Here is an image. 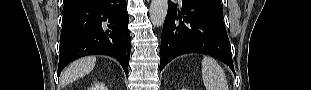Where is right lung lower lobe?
Masks as SVG:
<instances>
[{
    "instance_id": "obj_1",
    "label": "right lung lower lobe",
    "mask_w": 311,
    "mask_h": 90,
    "mask_svg": "<svg viewBox=\"0 0 311 90\" xmlns=\"http://www.w3.org/2000/svg\"><path fill=\"white\" fill-rule=\"evenodd\" d=\"M126 0H65L58 76L87 55L115 57L127 74L130 58Z\"/></svg>"
}]
</instances>
